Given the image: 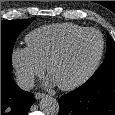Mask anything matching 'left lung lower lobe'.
<instances>
[{"label":"left lung lower lobe","mask_w":115,"mask_h":115,"mask_svg":"<svg viewBox=\"0 0 115 115\" xmlns=\"http://www.w3.org/2000/svg\"><path fill=\"white\" fill-rule=\"evenodd\" d=\"M58 115H115V76L86 82L59 98Z\"/></svg>","instance_id":"obj_1"}]
</instances>
